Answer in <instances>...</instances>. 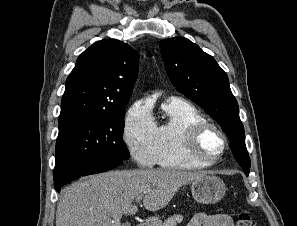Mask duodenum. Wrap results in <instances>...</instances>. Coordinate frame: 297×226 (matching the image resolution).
<instances>
[{
    "label": "duodenum",
    "instance_id": "duodenum-1",
    "mask_svg": "<svg viewBox=\"0 0 297 226\" xmlns=\"http://www.w3.org/2000/svg\"><path fill=\"white\" fill-rule=\"evenodd\" d=\"M137 226H150V222H148V221H141L140 223L137 224Z\"/></svg>",
    "mask_w": 297,
    "mask_h": 226
}]
</instances>
